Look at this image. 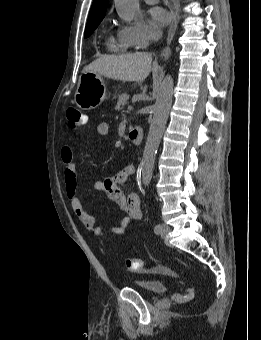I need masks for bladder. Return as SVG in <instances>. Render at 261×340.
<instances>
[{"label":"bladder","instance_id":"31cf9c89","mask_svg":"<svg viewBox=\"0 0 261 340\" xmlns=\"http://www.w3.org/2000/svg\"><path fill=\"white\" fill-rule=\"evenodd\" d=\"M133 287L149 295H159L166 291V282L162 279H149L137 281Z\"/></svg>","mask_w":261,"mask_h":340}]
</instances>
